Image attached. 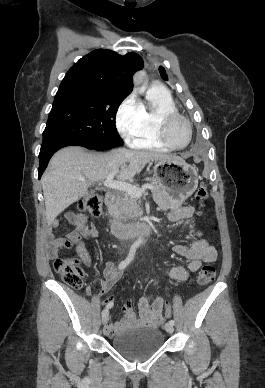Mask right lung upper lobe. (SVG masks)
Returning a JSON list of instances; mask_svg holds the SVG:
<instances>
[{
    "label": "right lung upper lobe",
    "mask_w": 265,
    "mask_h": 388,
    "mask_svg": "<svg viewBox=\"0 0 265 388\" xmlns=\"http://www.w3.org/2000/svg\"><path fill=\"white\" fill-rule=\"evenodd\" d=\"M143 66V59L135 53L121 56L111 50L98 49L81 58L67 72L57 93L87 90L129 95L132 76Z\"/></svg>",
    "instance_id": "obj_1"
}]
</instances>
